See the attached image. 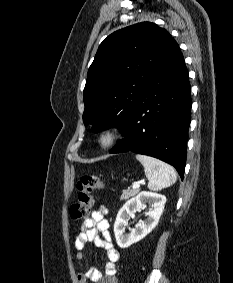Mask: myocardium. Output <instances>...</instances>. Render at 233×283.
<instances>
[{
  "label": "myocardium",
  "instance_id": "myocardium-1",
  "mask_svg": "<svg viewBox=\"0 0 233 283\" xmlns=\"http://www.w3.org/2000/svg\"><path fill=\"white\" fill-rule=\"evenodd\" d=\"M120 135V130L117 127L107 126L99 131L96 142L101 149L107 150L118 142Z\"/></svg>",
  "mask_w": 233,
  "mask_h": 283
}]
</instances>
